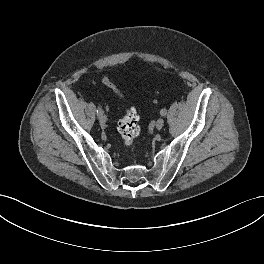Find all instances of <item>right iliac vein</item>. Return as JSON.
I'll list each match as a JSON object with an SVG mask.
<instances>
[{
    "mask_svg": "<svg viewBox=\"0 0 264 264\" xmlns=\"http://www.w3.org/2000/svg\"><path fill=\"white\" fill-rule=\"evenodd\" d=\"M99 123H100V126H101L102 128L106 126V118H105L104 115H101V116L99 117Z\"/></svg>",
    "mask_w": 264,
    "mask_h": 264,
    "instance_id": "obj_1",
    "label": "right iliac vein"
}]
</instances>
